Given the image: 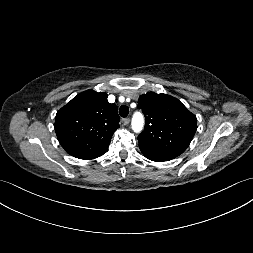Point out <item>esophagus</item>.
<instances>
[{"label": "esophagus", "mask_w": 253, "mask_h": 253, "mask_svg": "<svg viewBox=\"0 0 253 253\" xmlns=\"http://www.w3.org/2000/svg\"><path fill=\"white\" fill-rule=\"evenodd\" d=\"M129 122H130V119H129V118H124V119H122V123H123L124 125H128Z\"/></svg>", "instance_id": "34e87169"}]
</instances>
